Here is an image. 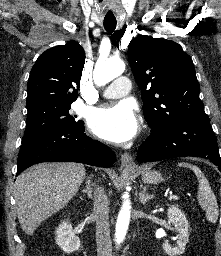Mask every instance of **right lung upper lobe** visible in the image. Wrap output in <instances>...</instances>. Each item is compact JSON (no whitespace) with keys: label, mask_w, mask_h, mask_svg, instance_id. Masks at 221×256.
<instances>
[{"label":"right lung upper lobe","mask_w":221,"mask_h":256,"mask_svg":"<svg viewBox=\"0 0 221 256\" xmlns=\"http://www.w3.org/2000/svg\"><path fill=\"white\" fill-rule=\"evenodd\" d=\"M84 63V49L77 42L55 46L42 53L29 76L27 109L74 102L78 97Z\"/></svg>","instance_id":"obj_1"}]
</instances>
